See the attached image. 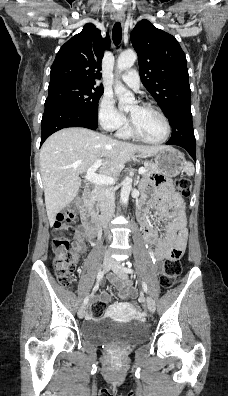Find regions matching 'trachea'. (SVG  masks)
<instances>
[{
  "label": "trachea",
  "mask_w": 228,
  "mask_h": 396,
  "mask_svg": "<svg viewBox=\"0 0 228 396\" xmlns=\"http://www.w3.org/2000/svg\"><path fill=\"white\" fill-rule=\"evenodd\" d=\"M112 38L115 45H119L122 39V29L120 22H116L112 30Z\"/></svg>",
  "instance_id": "1"
}]
</instances>
